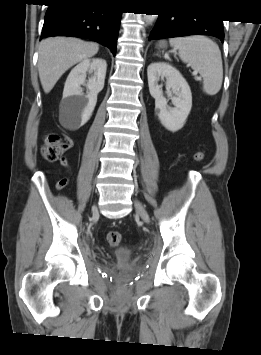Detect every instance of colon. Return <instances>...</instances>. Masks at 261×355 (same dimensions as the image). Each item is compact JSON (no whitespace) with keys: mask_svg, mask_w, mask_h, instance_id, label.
I'll return each instance as SVG.
<instances>
[{"mask_svg":"<svg viewBox=\"0 0 261 355\" xmlns=\"http://www.w3.org/2000/svg\"><path fill=\"white\" fill-rule=\"evenodd\" d=\"M66 149V143L56 134H50L45 138L44 144L41 148V155L47 161H57L62 156ZM204 153L199 152L195 155V161L200 162L204 159ZM68 183L67 178L60 179L56 188L61 189ZM122 241V235L119 231H111L107 234V242L112 247H117Z\"/></svg>","mask_w":261,"mask_h":355,"instance_id":"5ec220e1","label":"colon"}]
</instances>
